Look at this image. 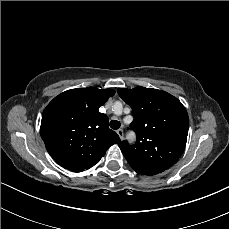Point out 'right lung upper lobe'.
I'll return each mask as SVG.
<instances>
[{
    "mask_svg": "<svg viewBox=\"0 0 229 229\" xmlns=\"http://www.w3.org/2000/svg\"><path fill=\"white\" fill-rule=\"evenodd\" d=\"M114 94L113 89L77 88L48 104L42 115L41 137L59 165L73 172L87 170L111 145L120 142L108 127V117L99 112Z\"/></svg>",
    "mask_w": 229,
    "mask_h": 229,
    "instance_id": "cb5924a9",
    "label": "right lung upper lobe"
}]
</instances>
